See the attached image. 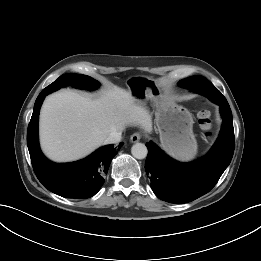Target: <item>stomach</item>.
<instances>
[{
    "label": "stomach",
    "instance_id": "1",
    "mask_svg": "<svg viewBox=\"0 0 261 261\" xmlns=\"http://www.w3.org/2000/svg\"><path fill=\"white\" fill-rule=\"evenodd\" d=\"M128 88L137 103L155 102V122L164 150L177 159H192L197 153L192 114L169 99L153 78L134 76L128 80Z\"/></svg>",
    "mask_w": 261,
    "mask_h": 261
}]
</instances>
